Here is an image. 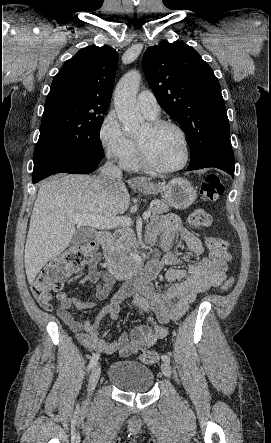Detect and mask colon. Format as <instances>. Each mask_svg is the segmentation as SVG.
I'll return each instance as SVG.
<instances>
[{
  "label": "colon",
  "mask_w": 271,
  "mask_h": 443,
  "mask_svg": "<svg viewBox=\"0 0 271 443\" xmlns=\"http://www.w3.org/2000/svg\"><path fill=\"white\" fill-rule=\"evenodd\" d=\"M224 191L220 179L216 175L207 176L200 185V195L204 201H216ZM190 224L195 228L209 227L212 224L211 215L202 208L192 212L189 217ZM209 253L213 258L229 261L231 258L230 243L221 237H209L206 240ZM97 247L94 242H86L68 249L61 256L50 261L33 281L31 291L36 298L50 295L59 291L71 276L92 262L96 256ZM233 278L225 280L220 290L226 292L233 286ZM139 358L146 364H154L159 356L154 351H143Z\"/></svg>",
  "instance_id": "1"
}]
</instances>
